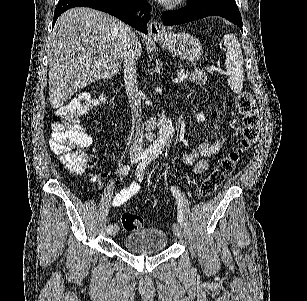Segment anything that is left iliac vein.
I'll return each mask as SVG.
<instances>
[{"instance_id": "1", "label": "left iliac vein", "mask_w": 307, "mask_h": 301, "mask_svg": "<svg viewBox=\"0 0 307 301\" xmlns=\"http://www.w3.org/2000/svg\"><path fill=\"white\" fill-rule=\"evenodd\" d=\"M173 232L179 240H182V229L179 223L175 222L173 224Z\"/></svg>"}]
</instances>
